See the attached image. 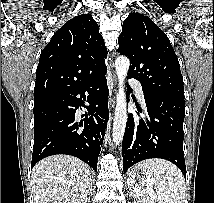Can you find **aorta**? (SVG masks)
Segmentation results:
<instances>
[{"instance_id":"762f6f07","label":"aorta","mask_w":214,"mask_h":203,"mask_svg":"<svg viewBox=\"0 0 214 203\" xmlns=\"http://www.w3.org/2000/svg\"><path fill=\"white\" fill-rule=\"evenodd\" d=\"M129 66L130 61L126 56H119L115 60V70L118 77L119 89L116 97L112 137L116 145H119L122 142L128 119L124 83L129 70Z\"/></svg>"}]
</instances>
